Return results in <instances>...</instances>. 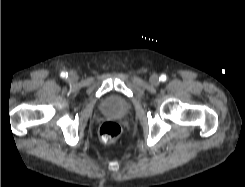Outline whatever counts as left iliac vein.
Segmentation results:
<instances>
[{
    "instance_id": "1",
    "label": "left iliac vein",
    "mask_w": 245,
    "mask_h": 187,
    "mask_svg": "<svg viewBox=\"0 0 245 187\" xmlns=\"http://www.w3.org/2000/svg\"><path fill=\"white\" fill-rule=\"evenodd\" d=\"M159 82H160V78H159V76L157 74L151 75V77H150V83L152 85L156 86V85L159 84Z\"/></svg>"
}]
</instances>
